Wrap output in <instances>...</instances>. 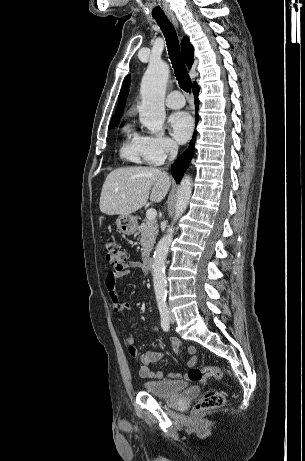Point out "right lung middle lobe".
Segmentation results:
<instances>
[{"label": "right lung middle lobe", "mask_w": 305, "mask_h": 461, "mask_svg": "<svg viewBox=\"0 0 305 461\" xmlns=\"http://www.w3.org/2000/svg\"><path fill=\"white\" fill-rule=\"evenodd\" d=\"M119 121H116V122H111V124L109 125V128H113L114 126H116L118 124Z\"/></svg>", "instance_id": "1"}]
</instances>
